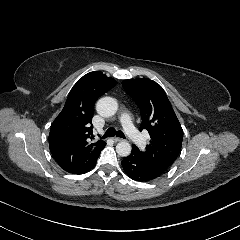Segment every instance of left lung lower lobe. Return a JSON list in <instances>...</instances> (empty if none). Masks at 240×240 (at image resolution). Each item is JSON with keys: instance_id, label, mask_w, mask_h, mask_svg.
I'll list each match as a JSON object with an SVG mask.
<instances>
[{"instance_id": "1", "label": "left lung lower lobe", "mask_w": 240, "mask_h": 240, "mask_svg": "<svg viewBox=\"0 0 240 240\" xmlns=\"http://www.w3.org/2000/svg\"><path fill=\"white\" fill-rule=\"evenodd\" d=\"M122 167L126 174L133 180L139 182H148L159 177L166 169L157 167L138 155L131 154L123 158Z\"/></svg>"}]
</instances>
